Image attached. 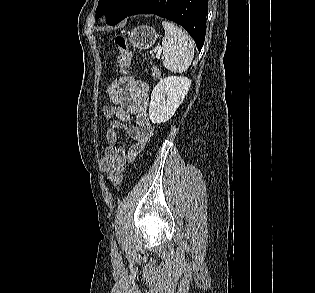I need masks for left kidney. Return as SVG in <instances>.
I'll return each instance as SVG.
<instances>
[{
  "label": "left kidney",
  "mask_w": 315,
  "mask_h": 293,
  "mask_svg": "<svg viewBox=\"0 0 315 293\" xmlns=\"http://www.w3.org/2000/svg\"><path fill=\"white\" fill-rule=\"evenodd\" d=\"M191 86L186 77L170 76L161 79L151 94L149 117L152 123L167 122L183 102Z\"/></svg>",
  "instance_id": "5707ae66"
}]
</instances>
